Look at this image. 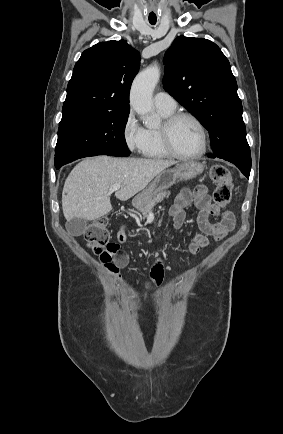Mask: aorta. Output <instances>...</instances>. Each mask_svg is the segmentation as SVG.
Wrapping results in <instances>:
<instances>
[{"instance_id":"obj_1","label":"aorta","mask_w":283,"mask_h":434,"mask_svg":"<svg viewBox=\"0 0 283 434\" xmlns=\"http://www.w3.org/2000/svg\"><path fill=\"white\" fill-rule=\"evenodd\" d=\"M159 78L160 69L157 64H153L140 72L131 86L130 105L137 114L144 117V124L148 128H154L159 124L152 100Z\"/></svg>"}]
</instances>
